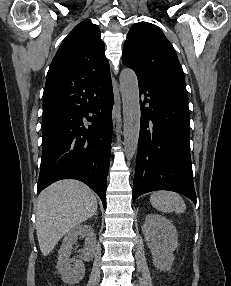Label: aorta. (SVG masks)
<instances>
[{
  "instance_id": "obj_1",
  "label": "aorta",
  "mask_w": 231,
  "mask_h": 286,
  "mask_svg": "<svg viewBox=\"0 0 231 286\" xmlns=\"http://www.w3.org/2000/svg\"><path fill=\"white\" fill-rule=\"evenodd\" d=\"M119 81L123 103L124 148L129 161L137 151L140 133L139 86L135 72L129 68L121 71Z\"/></svg>"
}]
</instances>
